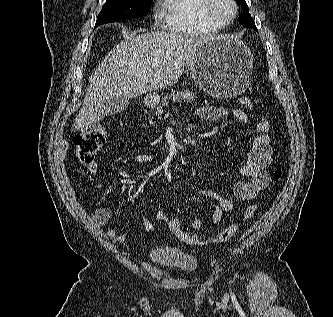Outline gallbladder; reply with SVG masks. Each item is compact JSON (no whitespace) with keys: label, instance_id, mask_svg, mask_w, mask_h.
<instances>
[{"label":"gallbladder","instance_id":"bac80fb5","mask_svg":"<svg viewBox=\"0 0 333 317\" xmlns=\"http://www.w3.org/2000/svg\"><path fill=\"white\" fill-rule=\"evenodd\" d=\"M129 104V99L121 96H113L104 104V113L106 115H118L124 112Z\"/></svg>","mask_w":333,"mask_h":317}]
</instances>
